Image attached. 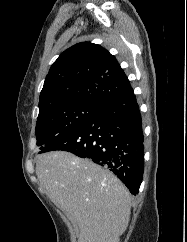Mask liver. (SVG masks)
<instances>
[{
    "label": "liver",
    "instance_id": "liver-1",
    "mask_svg": "<svg viewBox=\"0 0 187 242\" xmlns=\"http://www.w3.org/2000/svg\"><path fill=\"white\" fill-rule=\"evenodd\" d=\"M36 175L52 201L79 227L78 242H118L131 214V196L110 171L75 155H39Z\"/></svg>",
    "mask_w": 187,
    "mask_h": 242
}]
</instances>
